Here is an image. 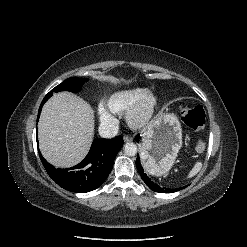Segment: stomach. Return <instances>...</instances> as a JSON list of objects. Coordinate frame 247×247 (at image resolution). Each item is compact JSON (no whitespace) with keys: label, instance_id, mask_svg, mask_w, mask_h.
<instances>
[{"label":"stomach","instance_id":"obj_1","mask_svg":"<svg viewBox=\"0 0 247 247\" xmlns=\"http://www.w3.org/2000/svg\"><path fill=\"white\" fill-rule=\"evenodd\" d=\"M182 147V128L174 114H160L147 128L140 145L145 170L155 176L166 174Z\"/></svg>","mask_w":247,"mask_h":247}]
</instances>
